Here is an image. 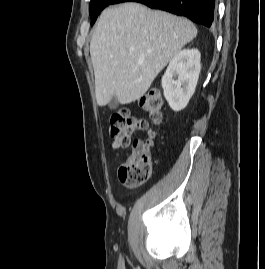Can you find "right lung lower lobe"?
<instances>
[{
	"label": "right lung lower lobe",
	"mask_w": 265,
	"mask_h": 269,
	"mask_svg": "<svg viewBox=\"0 0 265 269\" xmlns=\"http://www.w3.org/2000/svg\"><path fill=\"white\" fill-rule=\"evenodd\" d=\"M122 2H139L150 8L188 17L207 27L212 25L215 14V0H114L111 4Z\"/></svg>",
	"instance_id": "1"
}]
</instances>
